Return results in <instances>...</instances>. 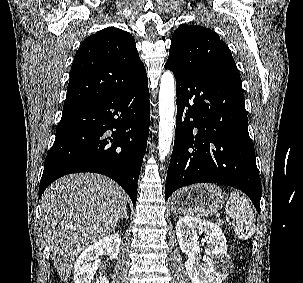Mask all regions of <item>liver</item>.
Wrapping results in <instances>:
<instances>
[{
	"label": "liver",
	"mask_w": 303,
	"mask_h": 283,
	"mask_svg": "<svg viewBox=\"0 0 303 283\" xmlns=\"http://www.w3.org/2000/svg\"><path fill=\"white\" fill-rule=\"evenodd\" d=\"M127 206L124 190L91 173L64 176L42 196L43 231L53 264L67 282L78 255L114 231Z\"/></svg>",
	"instance_id": "liver-1"
}]
</instances>
